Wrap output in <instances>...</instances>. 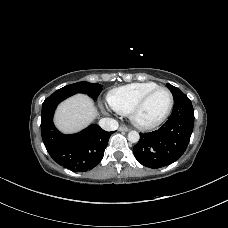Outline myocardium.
I'll list each match as a JSON object with an SVG mask.
<instances>
[{
	"mask_svg": "<svg viewBox=\"0 0 228 228\" xmlns=\"http://www.w3.org/2000/svg\"><path fill=\"white\" fill-rule=\"evenodd\" d=\"M160 90H163V91H166L169 95V105H168V108L166 110V112L164 113V115L158 119L157 121L155 122H152V123H149V124H144V123H141L139 120H138V114L140 112V110L143 108V106L146 104V102L148 101V99L154 94L156 93L157 91H160ZM173 106H174V97H173V94L171 93V91L166 88V87H163V86H158L152 90H150L149 92H147L134 106L133 108L131 109L130 111V119L132 121V123L139 129L141 130H152V129H155L157 128L158 126H160L161 124H163L166 119L169 117V115L171 114V111L173 109Z\"/></svg>",
	"mask_w": 228,
	"mask_h": 228,
	"instance_id": "f54148a6",
	"label": "myocardium"
}]
</instances>
